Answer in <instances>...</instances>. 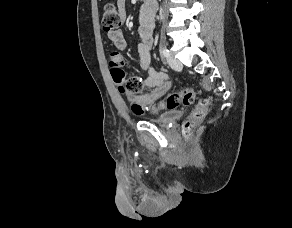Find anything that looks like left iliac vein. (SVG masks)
<instances>
[{"mask_svg":"<svg viewBox=\"0 0 292 228\" xmlns=\"http://www.w3.org/2000/svg\"><path fill=\"white\" fill-rule=\"evenodd\" d=\"M167 62L169 64V66L176 71H180L182 69V63L178 59H176L172 56H169L167 58Z\"/></svg>","mask_w":292,"mask_h":228,"instance_id":"1","label":"left iliac vein"}]
</instances>
